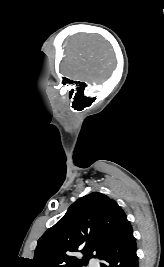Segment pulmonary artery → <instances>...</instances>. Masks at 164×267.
<instances>
[{"instance_id": "obj_1", "label": "pulmonary artery", "mask_w": 164, "mask_h": 267, "mask_svg": "<svg viewBox=\"0 0 164 267\" xmlns=\"http://www.w3.org/2000/svg\"><path fill=\"white\" fill-rule=\"evenodd\" d=\"M90 263H91V267H100L97 261H90Z\"/></svg>"}]
</instances>
